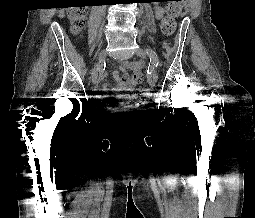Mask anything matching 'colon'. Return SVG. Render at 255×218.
I'll list each match as a JSON object with an SVG mask.
<instances>
[{
	"label": "colon",
	"mask_w": 255,
	"mask_h": 218,
	"mask_svg": "<svg viewBox=\"0 0 255 218\" xmlns=\"http://www.w3.org/2000/svg\"><path fill=\"white\" fill-rule=\"evenodd\" d=\"M184 0H171L167 6V15L162 23V31L165 35L169 36L175 29V20L180 14ZM68 16L71 22V28L74 33L79 32L86 22V8L75 7L71 8L68 12ZM142 93L146 92V89L141 90Z\"/></svg>",
	"instance_id": "colon-1"
}]
</instances>
